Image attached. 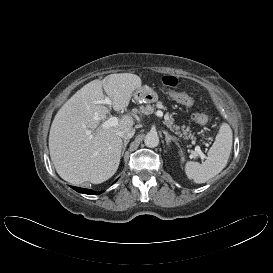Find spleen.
Listing matches in <instances>:
<instances>
[{
	"label": "spleen",
	"mask_w": 273,
	"mask_h": 273,
	"mask_svg": "<svg viewBox=\"0 0 273 273\" xmlns=\"http://www.w3.org/2000/svg\"><path fill=\"white\" fill-rule=\"evenodd\" d=\"M233 142V133L227 123H223L215 141L208 151L203 163L189 161L185 165V173L195 183H205L219 174L227 165ZM184 160V158H182Z\"/></svg>",
	"instance_id": "1"
}]
</instances>
